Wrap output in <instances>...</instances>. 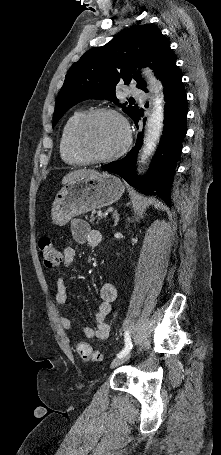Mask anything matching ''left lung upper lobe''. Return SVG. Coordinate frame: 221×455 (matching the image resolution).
<instances>
[{"instance_id": "left-lung-upper-lobe-1", "label": "left lung upper lobe", "mask_w": 221, "mask_h": 455, "mask_svg": "<svg viewBox=\"0 0 221 455\" xmlns=\"http://www.w3.org/2000/svg\"><path fill=\"white\" fill-rule=\"evenodd\" d=\"M175 63L169 41L156 26L126 29L104 46L86 52L70 67L56 100L53 126L66 111L86 99H107L119 104L115 93L119 83L136 81L137 88L147 91L138 67L149 66L161 79ZM126 104L119 105L133 119L139 108Z\"/></svg>"}]
</instances>
